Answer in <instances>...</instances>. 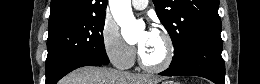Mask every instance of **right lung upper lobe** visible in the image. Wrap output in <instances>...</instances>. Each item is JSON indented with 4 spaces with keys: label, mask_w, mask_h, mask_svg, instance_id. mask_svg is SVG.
I'll return each mask as SVG.
<instances>
[{
    "label": "right lung upper lobe",
    "mask_w": 260,
    "mask_h": 84,
    "mask_svg": "<svg viewBox=\"0 0 260 84\" xmlns=\"http://www.w3.org/2000/svg\"><path fill=\"white\" fill-rule=\"evenodd\" d=\"M107 0H52L49 29L105 13Z\"/></svg>",
    "instance_id": "1"
}]
</instances>
